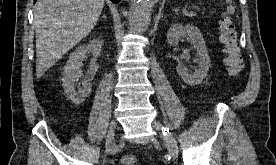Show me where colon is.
Returning <instances> with one entry per match:
<instances>
[{"mask_svg":"<svg viewBox=\"0 0 276 165\" xmlns=\"http://www.w3.org/2000/svg\"><path fill=\"white\" fill-rule=\"evenodd\" d=\"M220 42L224 53V63L230 75H237L242 70V57L237 42V32L230 17L224 16L220 22ZM138 159L133 154L123 156L122 165H137Z\"/></svg>","mask_w":276,"mask_h":165,"instance_id":"colon-1","label":"colon"}]
</instances>
